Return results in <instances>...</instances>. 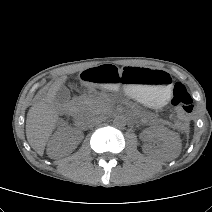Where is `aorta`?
Returning a JSON list of instances; mask_svg holds the SVG:
<instances>
[{
	"mask_svg": "<svg viewBox=\"0 0 212 212\" xmlns=\"http://www.w3.org/2000/svg\"><path fill=\"white\" fill-rule=\"evenodd\" d=\"M113 124L116 126V127H124L125 124H126V119L124 116L122 115H118L114 118L113 120Z\"/></svg>",
	"mask_w": 212,
	"mask_h": 212,
	"instance_id": "obj_1",
	"label": "aorta"
}]
</instances>
